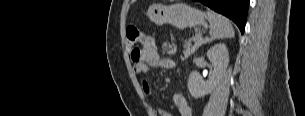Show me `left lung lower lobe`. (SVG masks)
<instances>
[{"label": "left lung lower lobe", "mask_w": 305, "mask_h": 116, "mask_svg": "<svg viewBox=\"0 0 305 116\" xmlns=\"http://www.w3.org/2000/svg\"><path fill=\"white\" fill-rule=\"evenodd\" d=\"M214 11L232 19L243 34L246 24L249 0H197Z\"/></svg>", "instance_id": "left-lung-lower-lobe-1"}]
</instances>
